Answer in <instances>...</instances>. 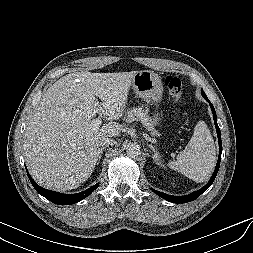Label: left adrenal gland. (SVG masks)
<instances>
[{"mask_svg": "<svg viewBox=\"0 0 253 253\" xmlns=\"http://www.w3.org/2000/svg\"><path fill=\"white\" fill-rule=\"evenodd\" d=\"M147 146L152 150V153H153V159L155 160L156 164L158 165H161V162L160 161V155H159V152L157 151V149H155L152 144H148L147 143Z\"/></svg>", "mask_w": 253, "mask_h": 253, "instance_id": "1", "label": "left adrenal gland"}]
</instances>
